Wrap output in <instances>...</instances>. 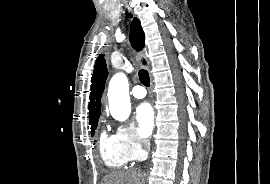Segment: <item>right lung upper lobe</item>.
<instances>
[{
	"label": "right lung upper lobe",
	"instance_id": "obj_1",
	"mask_svg": "<svg viewBox=\"0 0 270 184\" xmlns=\"http://www.w3.org/2000/svg\"><path fill=\"white\" fill-rule=\"evenodd\" d=\"M144 32L139 19L134 18L130 29V39L134 49L140 50L144 47ZM108 70L104 55L101 54L95 63L91 79V94L89 102V121L90 124L98 121L101 109V96L104 91Z\"/></svg>",
	"mask_w": 270,
	"mask_h": 184
}]
</instances>
